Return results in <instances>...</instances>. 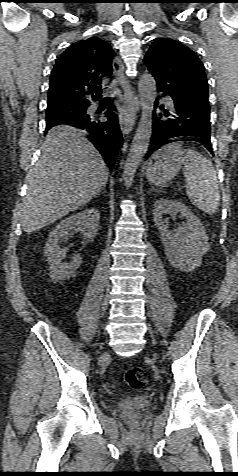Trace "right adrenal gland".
<instances>
[{"label": "right adrenal gland", "mask_w": 238, "mask_h": 476, "mask_svg": "<svg viewBox=\"0 0 238 476\" xmlns=\"http://www.w3.org/2000/svg\"><path fill=\"white\" fill-rule=\"evenodd\" d=\"M99 193H106L105 186L102 188V190Z\"/></svg>", "instance_id": "1"}]
</instances>
